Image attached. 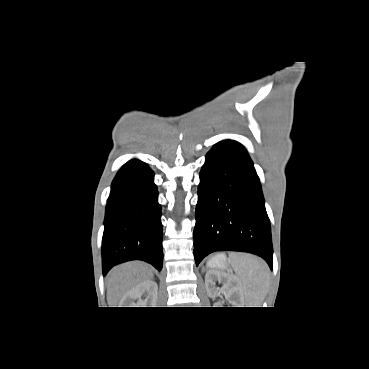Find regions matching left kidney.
<instances>
[{"label":"left kidney","mask_w":369,"mask_h":369,"mask_svg":"<svg viewBox=\"0 0 369 369\" xmlns=\"http://www.w3.org/2000/svg\"><path fill=\"white\" fill-rule=\"evenodd\" d=\"M214 279H217L219 282H223L222 292L224 293L227 299L232 300L233 307H243L244 304V296L239 286L237 280L229 275L222 272H218L215 270H209L205 275V287L207 294L210 297L216 296V289L213 287Z\"/></svg>","instance_id":"1"}]
</instances>
